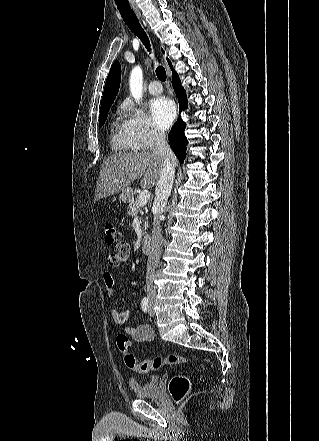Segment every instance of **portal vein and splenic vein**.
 <instances>
[{
	"instance_id": "18ae733b",
	"label": "portal vein and splenic vein",
	"mask_w": 319,
	"mask_h": 441,
	"mask_svg": "<svg viewBox=\"0 0 319 441\" xmlns=\"http://www.w3.org/2000/svg\"><path fill=\"white\" fill-rule=\"evenodd\" d=\"M150 199V192L147 189H144L140 194H139V201L140 204H146Z\"/></svg>"
}]
</instances>
